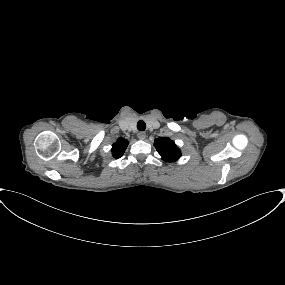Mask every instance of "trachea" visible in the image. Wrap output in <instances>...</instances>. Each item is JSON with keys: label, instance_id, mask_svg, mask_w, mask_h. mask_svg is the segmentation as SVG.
Wrapping results in <instances>:
<instances>
[{"label": "trachea", "instance_id": "trachea-1", "mask_svg": "<svg viewBox=\"0 0 285 285\" xmlns=\"http://www.w3.org/2000/svg\"><path fill=\"white\" fill-rule=\"evenodd\" d=\"M137 129L139 131H144L146 129V124L144 121L140 120L138 123H137Z\"/></svg>", "mask_w": 285, "mask_h": 285}]
</instances>
